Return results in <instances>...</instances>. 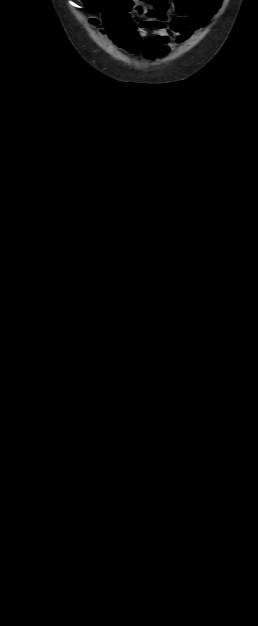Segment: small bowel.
Listing matches in <instances>:
<instances>
[{
    "label": "small bowel",
    "mask_w": 258,
    "mask_h": 626,
    "mask_svg": "<svg viewBox=\"0 0 258 626\" xmlns=\"http://www.w3.org/2000/svg\"><path fill=\"white\" fill-rule=\"evenodd\" d=\"M222 0H176L159 17L136 26L120 0H105L101 9L105 31L122 49L148 59H161L174 43H183L219 9ZM130 25L134 28L130 29Z\"/></svg>",
    "instance_id": "1"
}]
</instances>
